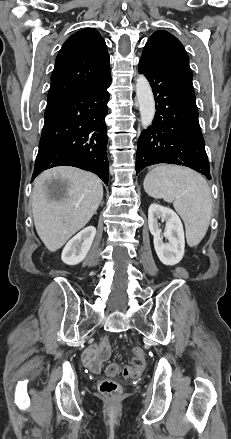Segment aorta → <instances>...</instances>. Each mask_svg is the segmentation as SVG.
<instances>
[{"label":"aorta","instance_id":"aorta-1","mask_svg":"<svg viewBox=\"0 0 231 439\" xmlns=\"http://www.w3.org/2000/svg\"><path fill=\"white\" fill-rule=\"evenodd\" d=\"M136 96L139 103L141 125L146 129L152 124L155 116V101L150 84L142 74L138 76L136 81Z\"/></svg>","mask_w":231,"mask_h":439}]
</instances>
